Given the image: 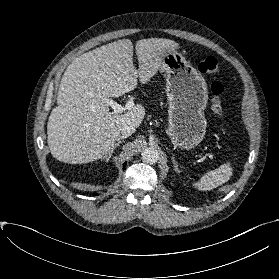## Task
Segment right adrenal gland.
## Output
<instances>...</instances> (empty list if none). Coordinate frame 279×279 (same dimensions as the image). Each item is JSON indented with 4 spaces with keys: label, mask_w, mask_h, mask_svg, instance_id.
Instances as JSON below:
<instances>
[{
    "label": "right adrenal gland",
    "mask_w": 279,
    "mask_h": 279,
    "mask_svg": "<svg viewBox=\"0 0 279 279\" xmlns=\"http://www.w3.org/2000/svg\"><path fill=\"white\" fill-rule=\"evenodd\" d=\"M122 143L121 140H117V142L115 143V145L111 148V150L108 152V154L103 157V160H105L106 162H108L112 156V154L114 153V151L116 150V148Z\"/></svg>",
    "instance_id": "1"
}]
</instances>
